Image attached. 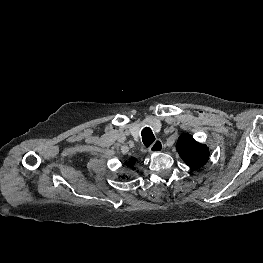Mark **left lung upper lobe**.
<instances>
[{"instance_id":"obj_1","label":"left lung upper lobe","mask_w":263,"mask_h":263,"mask_svg":"<svg viewBox=\"0 0 263 263\" xmlns=\"http://www.w3.org/2000/svg\"><path fill=\"white\" fill-rule=\"evenodd\" d=\"M176 149L184 162L192 169H199L209 159V149L188 134H182L177 141Z\"/></svg>"}]
</instances>
